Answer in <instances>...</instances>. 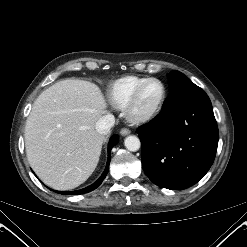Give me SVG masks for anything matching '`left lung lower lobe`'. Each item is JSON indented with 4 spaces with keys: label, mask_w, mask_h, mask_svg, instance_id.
Here are the masks:
<instances>
[{
    "label": "left lung lower lobe",
    "mask_w": 247,
    "mask_h": 247,
    "mask_svg": "<svg viewBox=\"0 0 247 247\" xmlns=\"http://www.w3.org/2000/svg\"><path fill=\"white\" fill-rule=\"evenodd\" d=\"M142 167L156 185L182 190L210 169L219 132L211 101L200 87L171 93L161 112L138 127Z\"/></svg>",
    "instance_id": "left-lung-lower-lobe-1"
}]
</instances>
